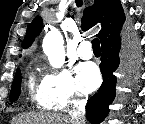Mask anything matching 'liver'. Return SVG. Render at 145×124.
I'll use <instances>...</instances> for the list:
<instances>
[{"label":"liver","mask_w":145,"mask_h":124,"mask_svg":"<svg viewBox=\"0 0 145 124\" xmlns=\"http://www.w3.org/2000/svg\"><path fill=\"white\" fill-rule=\"evenodd\" d=\"M12 124H73L71 119L62 115L28 113L14 118Z\"/></svg>","instance_id":"liver-1"}]
</instances>
